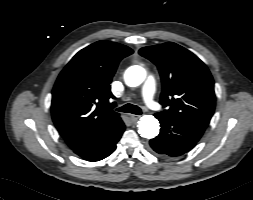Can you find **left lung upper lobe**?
I'll return each instance as SVG.
<instances>
[{
    "mask_svg": "<svg viewBox=\"0 0 253 200\" xmlns=\"http://www.w3.org/2000/svg\"><path fill=\"white\" fill-rule=\"evenodd\" d=\"M139 54L157 65L162 79V113L206 128L215 109L214 81L192 52L173 43L143 47Z\"/></svg>",
    "mask_w": 253,
    "mask_h": 200,
    "instance_id": "left-lung-upper-lobe-1",
    "label": "left lung upper lobe"
}]
</instances>
